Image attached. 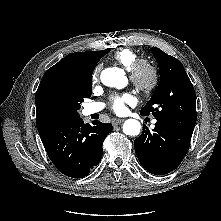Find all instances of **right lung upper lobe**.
Instances as JSON below:
<instances>
[{"instance_id": "right-lung-upper-lobe-1", "label": "right lung upper lobe", "mask_w": 221, "mask_h": 221, "mask_svg": "<svg viewBox=\"0 0 221 221\" xmlns=\"http://www.w3.org/2000/svg\"><path fill=\"white\" fill-rule=\"evenodd\" d=\"M109 51L110 48L102 51L72 53L45 72L35 96L36 125L39 134L75 120L68 115L49 110L46 105L47 95L54 89L75 88L88 81L92 78L97 62Z\"/></svg>"}]
</instances>
